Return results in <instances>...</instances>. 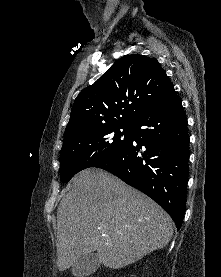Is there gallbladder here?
Segmentation results:
<instances>
[{"label": "gallbladder", "mask_w": 221, "mask_h": 277, "mask_svg": "<svg viewBox=\"0 0 221 277\" xmlns=\"http://www.w3.org/2000/svg\"><path fill=\"white\" fill-rule=\"evenodd\" d=\"M100 266V261L96 253H90L81 257L77 263L72 266V274L75 277H86L94 273Z\"/></svg>", "instance_id": "1"}]
</instances>
